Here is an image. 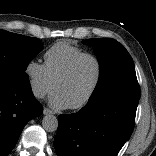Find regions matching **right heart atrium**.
I'll return each mask as SVG.
<instances>
[{"mask_svg": "<svg viewBox=\"0 0 156 156\" xmlns=\"http://www.w3.org/2000/svg\"><path fill=\"white\" fill-rule=\"evenodd\" d=\"M24 72L29 88L36 98L42 99L53 90L54 82L43 63L30 60L26 64Z\"/></svg>", "mask_w": 156, "mask_h": 156, "instance_id": "right-heart-atrium-1", "label": "right heart atrium"}]
</instances>
